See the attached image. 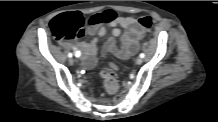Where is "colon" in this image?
<instances>
[{
	"label": "colon",
	"mask_w": 218,
	"mask_h": 122,
	"mask_svg": "<svg viewBox=\"0 0 218 122\" xmlns=\"http://www.w3.org/2000/svg\"><path fill=\"white\" fill-rule=\"evenodd\" d=\"M144 30H149L153 20L151 16H142L139 20ZM85 19L79 12L65 13L55 17L51 21V30L53 35L61 41L71 40L82 36ZM105 89L108 93L113 94L118 90V77L122 75V70L116 65L110 64L100 73Z\"/></svg>",
	"instance_id": "obj_1"
}]
</instances>
